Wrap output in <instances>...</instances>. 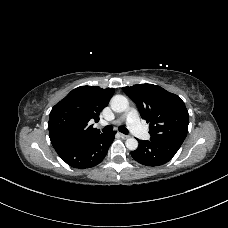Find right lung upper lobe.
<instances>
[{"instance_id": "cb5924a9", "label": "right lung upper lobe", "mask_w": 228, "mask_h": 228, "mask_svg": "<svg viewBox=\"0 0 228 228\" xmlns=\"http://www.w3.org/2000/svg\"><path fill=\"white\" fill-rule=\"evenodd\" d=\"M113 94V88L80 86L57 103L50 112L48 122L53 147L99 135L100 131L88 122L98 120L101 110L108 105Z\"/></svg>"}]
</instances>
